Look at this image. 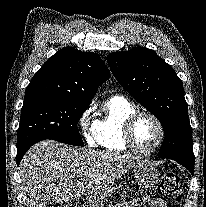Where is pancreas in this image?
Returning a JSON list of instances; mask_svg holds the SVG:
<instances>
[{"label":"pancreas","instance_id":"cf45deb5","mask_svg":"<svg viewBox=\"0 0 206 207\" xmlns=\"http://www.w3.org/2000/svg\"><path fill=\"white\" fill-rule=\"evenodd\" d=\"M114 207H131V202H122V203H118L116 206Z\"/></svg>","mask_w":206,"mask_h":207}]
</instances>
